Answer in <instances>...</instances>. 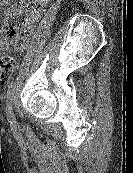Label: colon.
Here are the masks:
<instances>
[{"mask_svg":"<svg viewBox=\"0 0 133 173\" xmlns=\"http://www.w3.org/2000/svg\"><path fill=\"white\" fill-rule=\"evenodd\" d=\"M21 42L22 40L20 38H14L12 49H0V84H5L16 68L17 62L15 52Z\"/></svg>","mask_w":133,"mask_h":173,"instance_id":"obj_1","label":"colon"}]
</instances>
